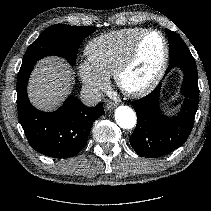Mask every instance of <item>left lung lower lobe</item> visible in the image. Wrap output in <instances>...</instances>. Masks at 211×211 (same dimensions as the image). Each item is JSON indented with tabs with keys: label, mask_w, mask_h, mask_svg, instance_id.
Listing matches in <instances>:
<instances>
[{
	"label": "left lung lower lobe",
	"mask_w": 211,
	"mask_h": 211,
	"mask_svg": "<svg viewBox=\"0 0 211 211\" xmlns=\"http://www.w3.org/2000/svg\"><path fill=\"white\" fill-rule=\"evenodd\" d=\"M167 35L169 48H179L181 37L174 32ZM170 57L167 72L177 67L184 74L181 87L184 104L176 116L164 115L159 107L160 85L147 96L132 102L138 121L130 144L143 157L156 158L172 152L187 140L193 127L199 101L196 63L190 51H180Z\"/></svg>",
	"instance_id": "obj_1"
}]
</instances>
